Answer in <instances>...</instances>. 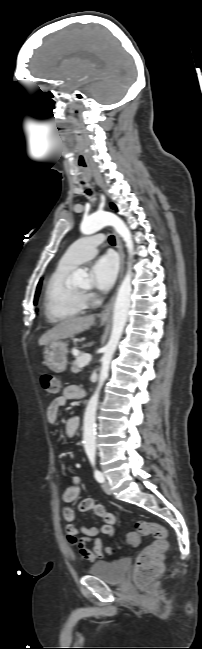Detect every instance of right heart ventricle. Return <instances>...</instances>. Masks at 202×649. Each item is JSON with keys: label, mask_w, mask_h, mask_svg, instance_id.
I'll list each match as a JSON object with an SVG mask.
<instances>
[{"label": "right heart ventricle", "mask_w": 202, "mask_h": 649, "mask_svg": "<svg viewBox=\"0 0 202 649\" xmlns=\"http://www.w3.org/2000/svg\"><path fill=\"white\" fill-rule=\"evenodd\" d=\"M74 268L60 262L47 281L44 292V313L52 323L78 316L86 307L84 297L80 296L70 283Z\"/></svg>", "instance_id": "e07e8e85"}]
</instances>
